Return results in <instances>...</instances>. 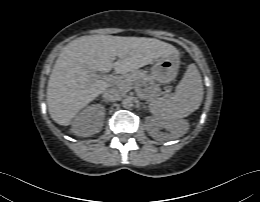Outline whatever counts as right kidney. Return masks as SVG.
Wrapping results in <instances>:
<instances>
[{"mask_svg": "<svg viewBox=\"0 0 260 202\" xmlns=\"http://www.w3.org/2000/svg\"><path fill=\"white\" fill-rule=\"evenodd\" d=\"M105 108L94 104L83 109L72 122V133L79 137H89L98 133L103 126Z\"/></svg>", "mask_w": 260, "mask_h": 202, "instance_id": "right-kidney-1", "label": "right kidney"}]
</instances>
